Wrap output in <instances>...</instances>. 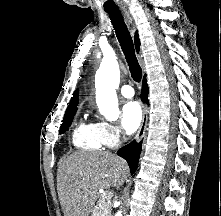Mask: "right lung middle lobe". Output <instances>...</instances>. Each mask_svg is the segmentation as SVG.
I'll return each mask as SVG.
<instances>
[{"label":"right lung middle lobe","mask_w":221,"mask_h":216,"mask_svg":"<svg viewBox=\"0 0 221 216\" xmlns=\"http://www.w3.org/2000/svg\"><path fill=\"white\" fill-rule=\"evenodd\" d=\"M76 112L70 113V114H65L63 123L60 127V134L64 133L67 128L71 125L73 116L75 115Z\"/></svg>","instance_id":"dd1d6c3e"}]
</instances>
